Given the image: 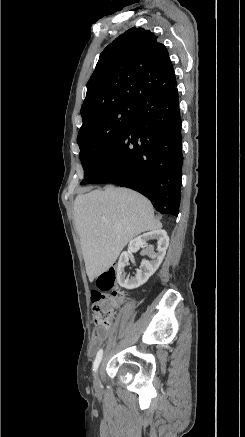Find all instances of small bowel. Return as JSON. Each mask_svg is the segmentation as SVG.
I'll return each mask as SVG.
<instances>
[{
  "instance_id": "obj_1",
  "label": "small bowel",
  "mask_w": 245,
  "mask_h": 437,
  "mask_svg": "<svg viewBox=\"0 0 245 437\" xmlns=\"http://www.w3.org/2000/svg\"><path fill=\"white\" fill-rule=\"evenodd\" d=\"M106 336H104V337H95L94 336L93 341H92V346L93 347L99 346L103 342V340L106 338Z\"/></svg>"
}]
</instances>
